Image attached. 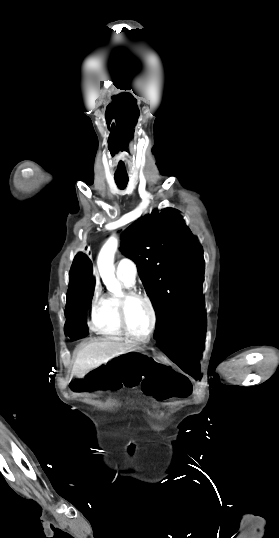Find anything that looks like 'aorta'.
<instances>
[{
    "label": "aorta",
    "mask_w": 279,
    "mask_h": 538,
    "mask_svg": "<svg viewBox=\"0 0 279 538\" xmlns=\"http://www.w3.org/2000/svg\"><path fill=\"white\" fill-rule=\"evenodd\" d=\"M118 248V239L111 236L103 245L97 260L100 276L108 291L117 296L122 294L121 285L115 277L114 256Z\"/></svg>",
    "instance_id": "762f6f07"
}]
</instances>
